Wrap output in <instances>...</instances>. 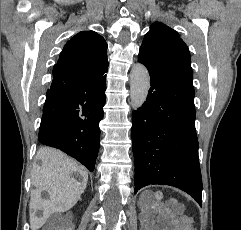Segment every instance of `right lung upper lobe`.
Here are the masks:
<instances>
[{
  "instance_id": "1",
  "label": "right lung upper lobe",
  "mask_w": 241,
  "mask_h": 230,
  "mask_svg": "<svg viewBox=\"0 0 241 230\" xmlns=\"http://www.w3.org/2000/svg\"><path fill=\"white\" fill-rule=\"evenodd\" d=\"M107 44L94 31H83L71 38L64 46L57 64L70 72L104 75L108 70Z\"/></svg>"
}]
</instances>
